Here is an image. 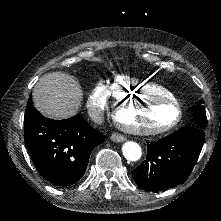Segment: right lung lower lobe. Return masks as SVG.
<instances>
[{
  "instance_id": "obj_1",
  "label": "right lung lower lobe",
  "mask_w": 221,
  "mask_h": 221,
  "mask_svg": "<svg viewBox=\"0 0 221 221\" xmlns=\"http://www.w3.org/2000/svg\"><path fill=\"white\" fill-rule=\"evenodd\" d=\"M24 140L39 174L63 187L82 178L91 152L104 136L78 116L52 120L32 104L25 110Z\"/></svg>"
}]
</instances>
